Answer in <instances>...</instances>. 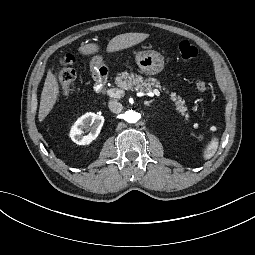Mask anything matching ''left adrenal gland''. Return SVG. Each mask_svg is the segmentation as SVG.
Here are the masks:
<instances>
[{
  "label": "left adrenal gland",
  "instance_id": "left-adrenal-gland-1",
  "mask_svg": "<svg viewBox=\"0 0 255 255\" xmlns=\"http://www.w3.org/2000/svg\"><path fill=\"white\" fill-rule=\"evenodd\" d=\"M152 102H153V100L145 101L144 103H145V105L150 106V103H152Z\"/></svg>",
  "mask_w": 255,
  "mask_h": 255
}]
</instances>
